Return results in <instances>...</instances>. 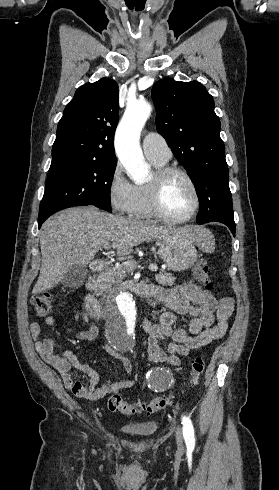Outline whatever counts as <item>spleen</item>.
Returning a JSON list of instances; mask_svg holds the SVG:
<instances>
[{
	"instance_id": "obj_1",
	"label": "spleen",
	"mask_w": 279,
	"mask_h": 490,
	"mask_svg": "<svg viewBox=\"0 0 279 490\" xmlns=\"http://www.w3.org/2000/svg\"><path fill=\"white\" fill-rule=\"evenodd\" d=\"M200 238V250H202V252H207V254L214 252L215 244L213 236H211V232L206 230V228H202Z\"/></svg>"
}]
</instances>
